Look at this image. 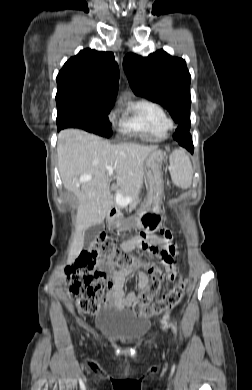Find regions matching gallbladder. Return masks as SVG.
Returning a JSON list of instances; mask_svg holds the SVG:
<instances>
[{
  "label": "gallbladder",
  "instance_id": "gallbladder-1",
  "mask_svg": "<svg viewBox=\"0 0 252 390\" xmlns=\"http://www.w3.org/2000/svg\"><path fill=\"white\" fill-rule=\"evenodd\" d=\"M104 224L103 223H100V224H96V225H93L91 227H89L86 231H85V244L88 245L93 239L96 238V236L102 231L104 230Z\"/></svg>",
  "mask_w": 252,
  "mask_h": 390
}]
</instances>
